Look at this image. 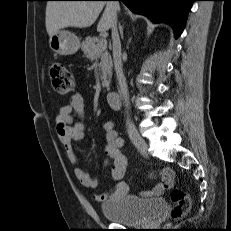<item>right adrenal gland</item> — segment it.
<instances>
[{"mask_svg":"<svg viewBox=\"0 0 231 231\" xmlns=\"http://www.w3.org/2000/svg\"><path fill=\"white\" fill-rule=\"evenodd\" d=\"M119 30H120L121 37H123V27L121 26L120 23H119Z\"/></svg>","mask_w":231,"mask_h":231,"instance_id":"2a0ac1e0","label":"right adrenal gland"}]
</instances>
